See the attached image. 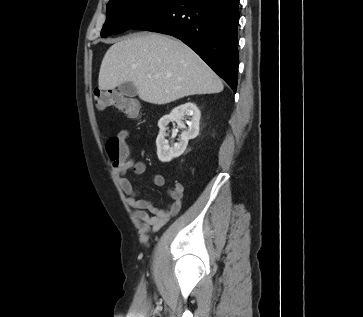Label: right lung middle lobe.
Masks as SVG:
<instances>
[{"mask_svg": "<svg viewBox=\"0 0 363 317\" xmlns=\"http://www.w3.org/2000/svg\"><path fill=\"white\" fill-rule=\"evenodd\" d=\"M177 0H110L107 5V19L101 36L119 34L131 29L168 8Z\"/></svg>", "mask_w": 363, "mask_h": 317, "instance_id": "1", "label": "right lung middle lobe"}]
</instances>
